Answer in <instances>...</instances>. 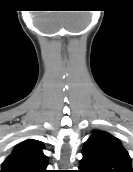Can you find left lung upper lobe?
Wrapping results in <instances>:
<instances>
[{"instance_id": "1", "label": "left lung upper lobe", "mask_w": 133, "mask_h": 172, "mask_svg": "<svg viewBox=\"0 0 133 172\" xmlns=\"http://www.w3.org/2000/svg\"><path fill=\"white\" fill-rule=\"evenodd\" d=\"M79 172H133L121 142L105 131L94 132L84 143Z\"/></svg>"}]
</instances>
